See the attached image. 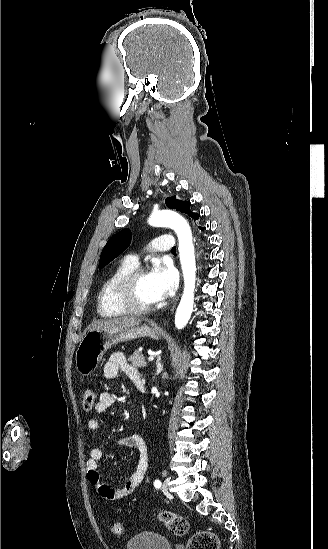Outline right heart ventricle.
Listing matches in <instances>:
<instances>
[{
    "label": "right heart ventricle",
    "mask_w": 328,
    "mask_h": 549,
    "mask_svg": "<svg viewBox=\"0 0 328 549\" xmlns=\"http://www.w3.org/2000/svg\"><path fill=\"white\" fill-rule=\"evenodd\" d=\"M138 264V260L134 259L133 255H127L120 259L114 271L102 284L98 295L96 310L100 319L106 323V319H130L128 315L118 314L111 309V305L115 302L111 297V290L115 282L126 272L134 269Z\"/></svg>",
    "instance_id": "e07e8e85"
}]
</instances>
